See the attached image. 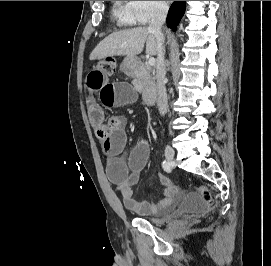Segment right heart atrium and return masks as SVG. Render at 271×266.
<instances>
[{
	"mask_svg": "<svg viewBox=\"0 0 271 266\" xmlns=\"http://www.w3.org/2000/svg\"><path fill=\"white\" fill-rule=\"evenodd\" d=\"M127 5L133 22L139 25L149 23L167 9L165 1H127Z\"/></svg>",
	"mask_w": 271,
	"mask_h": 266,
	"instance_id": "d8ad5b80",
	"label": "right heart atrium"
}]
</instances>
